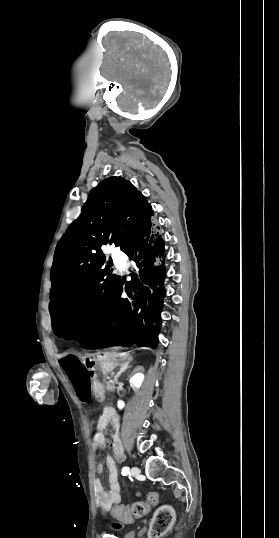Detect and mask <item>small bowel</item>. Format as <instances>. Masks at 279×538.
I'll use <instances>...</instances> for the list:
<instances>
[{
	"label": "small bowel",
	"mask_w": 279,
	"mask_h": 538,
	"mask_svg": "<svg viewBox=\"0 0 279 538\" xmlns=\"http://www.w3.org/2000/svg\"><path fill=\"white\" fill-rule=\"evenodd\" d=\"M68 379L75 394L81 401L87 402L91 399L93 395V380L87 370L82 369L68 372ZM108 425H111L114 430V433L109 440V445L112 449L114 457L108 456L105 464L99 463L97 465V472L99 474L104 471L105 467L108 470L109 489L107 491L103 488L99 479L95 482L97 501L101 507H110L111 505L118 504L121 500L122 491V486L118 478L115 458L120 459L122 457L123 448L119 436V422L114 413H103V415L97 421L96 432L93 438V446L96 449H102L106 446L107 439L105 436V428Z\"/></svg>",
	"instance_id": "small-bowel-1"
}]
</instances>
